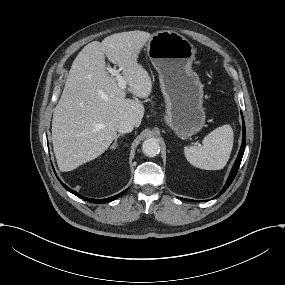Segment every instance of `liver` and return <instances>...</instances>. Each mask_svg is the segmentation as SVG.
<instances>
[{
  "label": "liver",
  "mask_w": 285,
  "mask_h": 285,
  "mask_svg": "<svg viewBox=\"0 0 285 285\" xmlns=\"http://www.w3.org/2000/svg\"><path fill=\"white\" fill-rule=\"evenodd\" d=\"M150 38L145 31L116 33L87 44L77 55L53 113L52 142L60 171L74 170L103 154L120 121L140 126L144 106L125 98L126 90L106 71L105 55L122 69L128 91L147 98L152 81L137 59Z\"/></svg>",
  "instance_id": "1"
}]
</instances>
